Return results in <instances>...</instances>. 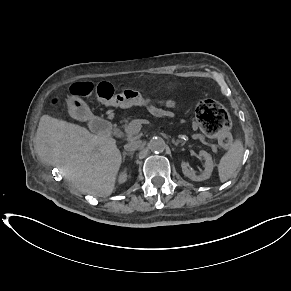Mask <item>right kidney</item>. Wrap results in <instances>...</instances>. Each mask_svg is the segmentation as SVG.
<instances>
[{"mask_svg":"<svg viewBox=\"0 0 291 291\" xmlns=\"http://www.w3.org/2000/svg\"><path fill=\"white\" fill-rule=\"evenodd\" d=\"M126 180H127V173L126 171H123L119 176L118 182L124 183Z\"/></svg>","mask_w":291,"mask_h":291,"instance_id":"obj_1","label":"right kidney"}]
</instances>
